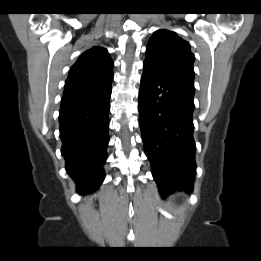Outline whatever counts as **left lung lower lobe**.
Instances as JSON below:
<instances>
[{
	"mask_svg": "<svg viewBox=\"0 0 261 261\" xmlns=\"http://www.w3.org/2000/svg\"><path fill=\"white\" fill-rule=\"evenodd\" d=\"M194 85L143 64L139 122L145 153L161 195L189 192L196 173Z\"/></svg>",
	"mask_w": 261,
	"mask_h": 261,
	"instance_id": "1",
	"label": "left lung lower lobe"
}]
</instances>
